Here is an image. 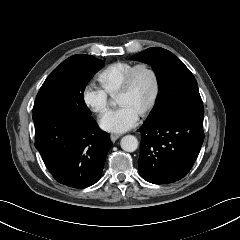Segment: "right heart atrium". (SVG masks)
<instances>
[{
    "label": "right heart atrium",
    "instance_id": "right-heart-atrium-1",
    "mask_svg": "<svg viewBox=\"0 0 240 240\" xmlns=\"http://www.w3.org/2000/svg\"><path fill=\"white\" fill-rule=\"evenodd\" d=\"M83 101L85 105L94 113L101 115L109 107V96L102 89L93 85H88L83 92Z\"/></svg>",
    "mask_w": 240,
    "mask_h": 240
}]
</instances>
